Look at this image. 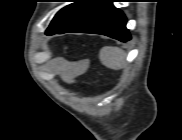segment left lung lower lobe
Returning a JSON list of instances; mask_svg holds the SVG:
<instances>
[{"mask_svg": "<svg viewBox=\"0 0 182 140\" xmlns=\"http://www.w3.org/2000/svg\"><path fill=\"white\" fill-rule=\"evenodd\" d=\"M112 2L107 0L66 32L102 34L122 42L129 41L131 37L126 29V18L113 6Z\"/></svg>", "mask_w": 182, "mask_h": 140, "instance_id": "left-lung-lower-lobe-1", "label": "left lung lower lobe"}]
</instances>
